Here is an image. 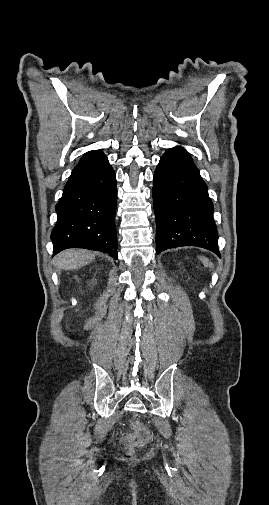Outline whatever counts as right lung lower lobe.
<instances>
[{
  "label": "right lung lower lobe",
  "instance_id": "1",
  "mask_svg": "<svg viewBox=\"0 0 269 505\" xmlns=\"http://www.w3.org/2000/svg\"><path fill=\"white\" fill-rule=\"evenodd\" d=\"M117 185L107 157L87 152L73 169L57 203V222L51 234L54 253L85 248L118 258L114 225Z\"/></svg>",
  "mask_w": 269,
  "mask_h": 505
}]
</instances>
